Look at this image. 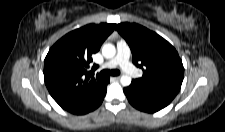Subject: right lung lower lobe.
Returning a JSON list of instances; mask_svg holds the SVG:
<instances>
[{
	"label": "right lung lower lobe",
	"instance_id": "obj_1",
	"mask_svg": "<svg viewBox=\"0 0 225 132\" xmlns=\"http://www.w3.org/2000/svg\"><path fill=\"white\" fill-rule=\"evenodd\" d=\"M108 83H109V78L107 77L104 80V86H103L99 96L91 104H89L85 107H78V108H74V109L67 110V111H69L73 114L81 115V114H86L90 111H93L94 109L99 107L100 104L102 103L103 99H104L105 94H106Z\"/></svg>",
	"mask_w": 225,
	"mask_h": 132
}]
</instances>
